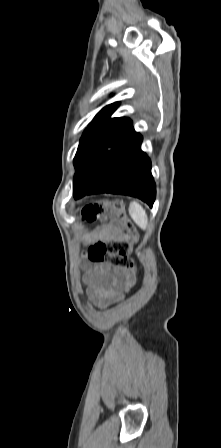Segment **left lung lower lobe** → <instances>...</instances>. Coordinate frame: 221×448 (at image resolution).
Segmentation results:
<instances>
[{"label":"left lung lower lobe","instance_id":"0a47b994","mask_svg":"<svg viewBox=\"0 0 221 448\" xmlns=\"http://www.w3.org/2000/svg\"><path fill=\"white\" fill-rule=\"evenodd\" d=\"M142 136L132 138L106 153L98 162L77 170L73 181V196L113 193L140 198L153 206L156 187L151 174V161L140 150Z\"/></svg>","mask_w":221,"mask_h":448}]
</instances>
